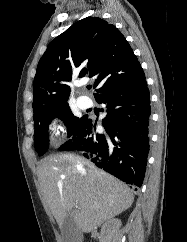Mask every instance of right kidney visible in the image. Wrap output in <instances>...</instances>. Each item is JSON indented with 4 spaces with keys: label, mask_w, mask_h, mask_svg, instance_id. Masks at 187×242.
Here are the masks:
<instances>
[{
    "label": "right kidney",
    "mask_w": 187,
    "mask_h": 242,
    "mask_svg": "<svg viewBox=\"0 0 187 242\" xmlns=\"http://www.w3.org/2000/svg\"><path fill=\"white\" fill-rule=\"evenodd\" d=\"M121 227V221L119 219H111L103 225V231L110 238Z\"/></svg>",
    "instance_id": "right-kidney-1"
}]
</instances>
